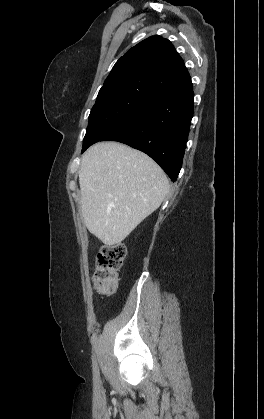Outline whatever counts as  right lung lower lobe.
Instances as JSON below:
<instances>
[{
  "instance_id": "right-lung-lower-lobe-1",
  "label": "right lung lower lobe",
  "mask_w": 264,
  "mask_h": 419,
  "mask_svg": "<svg viewBox=\"0 0 264 419\" xmlns=\"http://www.w3.org/2000/svg\"><path fill=\"white\" fill-rule=\"evenodd\" d=\"M192 86L153 96L101 141H118L148 154L174 182L182 166L193 116Z\"/></svg>"
}]
</instances>
